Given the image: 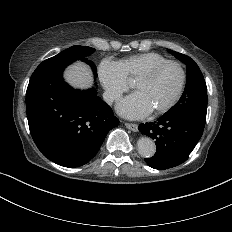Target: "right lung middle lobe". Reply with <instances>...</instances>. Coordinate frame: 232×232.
Listing matches in <instances>:
<instances>
[{"label": "right lung middle lobe", "mask_w": 232, "mask_h": 232, "mask_svg": "<svg viewBox=\"0 0 232 232\" xmlns=\"http://www.w3.org/2000/svg\"><path fill=\"white\" fill-rule=\"evenodd\" d=\"M95 51L94 48L88 46H72L62 52H60L56 57L71 56L75 58L86 57ZM92 69L96 72V66L92 65Z\"/></svg>", "instance_id": "obj_1"}]
</instances>
